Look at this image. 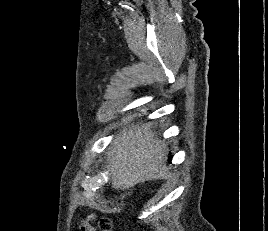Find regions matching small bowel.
Here are the masks:
<instances>
[{
    "mask_svg": "<svg viewBox=\"0 0 268 231\" xmlns=\"http://www.w3.org/2000/svg\"><path fill=\"white\" fill-rule=\"evenodd\" d=\"M95 219L94 214L87 215L80 223V231H96L95 226L91 223Z\"/></svg>",
    "mask_w": 268,
    "mask_h": 231,
    "instance_id": "c3829d8e",
    "label": "small bowel"
}]
</instances>
